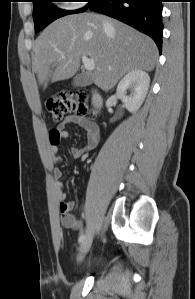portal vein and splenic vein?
Listing matches in <instances>:
<instances>
[{"instance_id": "obj_1", "label": "portal vein and splenic vein", "mask_w": 195, "mask_h": 299, "mask_svg": "<svg viewBox=\"0 0 195 299\" xmlns=\"http://www.w3.org/2000/svg\"><path fill=\"white\" fill-rule=\"evenodd\" d=\"M62 57H64V55H62ZM82 58V62L84 64V67L87 71L91 72L94 70L95 68V62L93 59L88 58L85 55H81Z\"/></svg>"}]
</instances>
